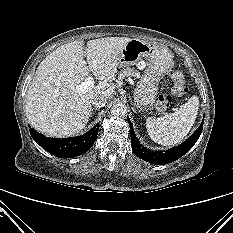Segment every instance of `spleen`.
Wrapping results in <instances>:
<instances>
[{
	"instance_id": "spleen-1",
	"label": "spleen",
	"mask_w": 233,
	"mask_h": 233,
	"mask_svg": "<svg viewBox=\"0 0 233 233\" xmlns=\"http://www.w3.org/2000/svg\"><path fill=\"white\" fill-rule=\"evenodd\" d=\"M199 108L198 96H192L179 110L156 119L147 118L146 128L150 138L161 145L180 143L194 125Z\"/></svg>"
}]
</instances>
